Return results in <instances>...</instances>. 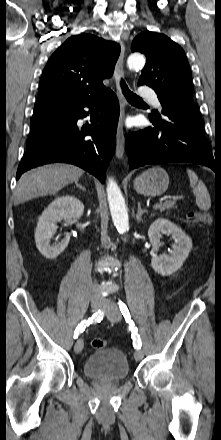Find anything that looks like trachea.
Returning <instances> with one entry per match:
<instances>
[{
	"label": "trachea",
	"mask_w": 221,
	"mask_h": 440,
	"mask_svg": "<svg viewBox=\"0 0 221 440\" xmlns=\"http://www.w3.org/2000/svg\"><path fill=\"white\" fill-rule=\"evenodd\" d=\"M120 86H121L123 95L125 96V98L129 102H143V100L140 97H138L136 94H134L132 91H130V89L128 88V86L126 85V83L123 79H121V81H120Z\"/></svg>",
	"instance_id": "obj_1"
}]
</instances>
